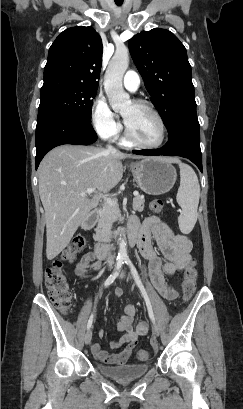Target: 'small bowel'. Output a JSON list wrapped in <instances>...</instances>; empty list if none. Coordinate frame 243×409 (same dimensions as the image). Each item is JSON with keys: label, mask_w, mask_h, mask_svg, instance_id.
I'll return each mask as SVG.
<instances>
[{"label": "small bowel", "mask_w": 243, "mask_h": 409, "mask_svg": "<svg viewBox=\"0 0 243 409\" xmlns=\"http://www.w3.org/2000/svg\"><path fill=\"white\" fill-rule=\"evenodd\" d=\"M129 229L137 230L140 234L139 250L149 263L150 278L154 287L165 299H175L178 293L175 289L167 286L165 275H173L189 264L193 247L191 241L182 234L171 232L157 216L148 217L142 225H139L136 218H131ZM152 237H154L160 253L155 249ZM101 268L102 263L95 253L88 252L76 264L74 274L77 278L83 280L87 273ZM122 294V288L117 287L114 290L116 297H120ZM134 313V306L127 305L124 307V313L117 322L118 329L123 332V335L110 342L112 349L125 346L121 352L110 354L103 351L99 344L94 343L92 345V353L98 361L108 364H123L132 356L139 337L147 332V326L143 322H138L133 327Z\"/></svg>", "instance_id": "obj_1"}]
</instances>
